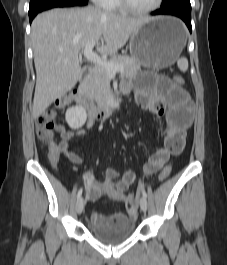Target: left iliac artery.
<instances>
[{"instance_id": "44dca946", "label": "left iliac artery", "mask_w": 227, "mask_h": 265, "mask_svg": "<svg viewBox=\"0 0 227 265\" xmlns=\"http://www.w3.org/2000/svg\"><path fill=\"white\" fill-rule=\"evenodd\" d=\"M140 189H141V193H142L143 197L146 199L147 193H146L145 189L142 186H140Z\"/></svg>"}]
</instances>
